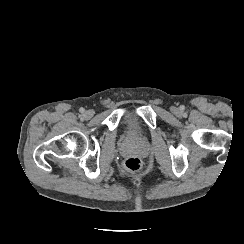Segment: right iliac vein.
Wrapping results in <instances>:
<instances>
[{
  "instance_id": "1",
  "label": "right iliac vein",
  "mask_w": 244,
  "mask_h": 244,
  "mask_svg": "<svg viewBox=\"0 0 244 244\" xmlns=\"http://www.w3.org/2000/svg\"><path fill=\"white\" fill-rule=\"evenodd\" d=\"M92 115H93V113H92L91 110H87V111L84 113V117H85V118H90V117H92Z\"/></svg>"
}]
</instances>
